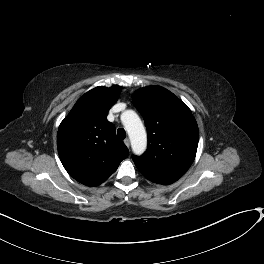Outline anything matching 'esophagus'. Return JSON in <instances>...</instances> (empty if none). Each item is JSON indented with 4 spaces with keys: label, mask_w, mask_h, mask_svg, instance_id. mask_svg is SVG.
I'll use <instances>...</instances> for the list:
<instances>
[{
    "label": "esophagus",
    "mask_w": 264,
    "mask_h": 264,
    "mask_svg": "<svg viewBox=\"0 0 264 264\" xmlns=\"http://www.w3.org/2000/svg\"><path fill=\"white\" fill-rule=\"evenodd\" d=\"M124 144L129 148L130 147V141L129 139L124 140Z\"/></svg>",
    "instance_id": "obj_1"
}]
</instances>
